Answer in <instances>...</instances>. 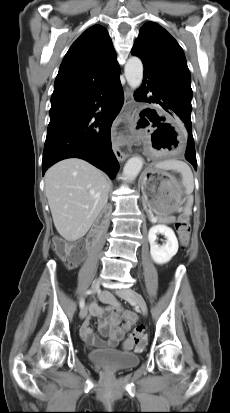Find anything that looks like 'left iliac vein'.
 I'll return each mask as SVG.
<instances>
[{
    "mask_svg": "<svg viewBox=\"0 0 230 413\" xmlns=\"http://www.w3.org/2000/svg\"><path fill=\"white\" fill-rule=\"evenodd\" d=\"M116 294L119 297L129 302L135 303L140 308L142 314L145 316L147 315L148 313L147 304L140 293H138L134 289L125 288V289L117 290Z\"/></svg>",
    "mask_w": 230,
    "mask_h": 413,
    "instance_id": "obj_1",
    "label": "left iliac vein"
}]
</instances>
